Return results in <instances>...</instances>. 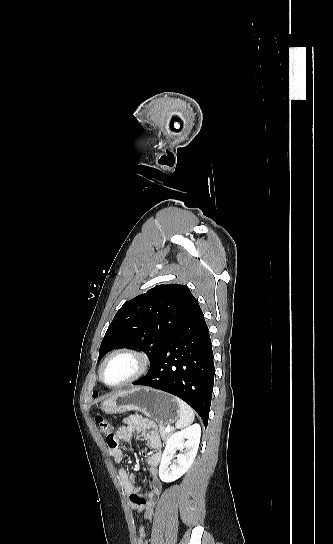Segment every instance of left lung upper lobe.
Returning <instances> with one entry per match:
<instances>
[{
	"mask_svg": "<svg viewBox=\"0 0 333 544\" xmlns=\"http://www.w3.org/2000/svg\"><path fill=\"white\" fill-rule=\"evenodd\" d=\"M196 303L188 287L179 284L157 285L125 302L106 331L98 360L115 348L132 346L145 352L152 365Z\"/></svg>",
	"mask_w": 333,
	"mask_h": 544,
	"instance_id": "left-lung-upper-lobe-1",
	"label": "left lung upper lobe"
}]
</instances>
